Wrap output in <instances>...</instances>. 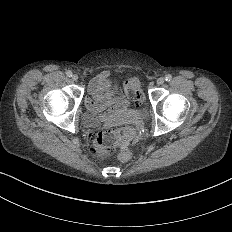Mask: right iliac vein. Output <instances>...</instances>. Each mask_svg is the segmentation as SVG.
I'll list each match as a JSON object with an SVG mask.
<instances>
[{"label":"right iliac vein","mask_w":232,"mask_h":232,"mask_svg":"<svg viewBox=\"0 0 232 232\" xmlns=\"http://www.w3.org/2000/svg\"><path fill=\"white\" fill-rule=\"evenodd\" d=\"M72 81L73 82H78L79 81V76L78 75H73L72 76Z\"/></svg>","instance_id":"1"}]
</instances>
